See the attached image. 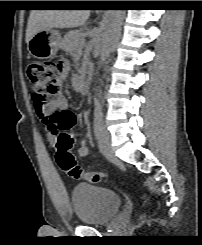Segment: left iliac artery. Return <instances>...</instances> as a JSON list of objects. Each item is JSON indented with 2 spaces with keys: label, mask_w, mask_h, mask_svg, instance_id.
Here are the masks:
<instances>
[{
  "label": "left iliac artery",
  "mask_w": 202,
  "mask_h": 245,
  "mask_svg": "<svg viewBox=\"0 0 202 245\" xmlns=\"http://www.w3.org/2000/svg\"><path fill=\"white\" fill-rule=\"evenodd\" d=\"M102 126V112L99 104L96 105L94 111V133L97 135Z\"/></svg>",
  "instance_id": "left-iliac-artery-1"
}]
</instances>
